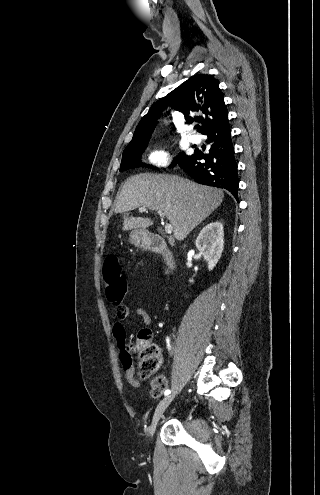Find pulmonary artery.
<instances>
[{"instance_id":"obj_1","label":"pulmonary artery","mask_w":320,"mask_h":495,"mask_svg":"<svg viewBox=\"0 0 320 495\" xmlns=\"http://www.w3.org/2000/svg\"><path fill=\"white\" fill-rule=\"evenodd\" d=\"M189 141L191 143L197 144V143H199L201 141V138L198 135H191L189 137Z\"/></svg>"}]
</instances>
